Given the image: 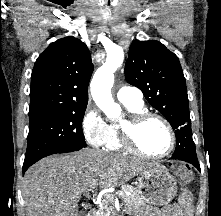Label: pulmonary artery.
<instances>
[{
  "instance_id": "pulmonary-artery-1",
  "label": "pulmonary artery",
  "mask_w": 221,
  "mask_h": 216,
  "mask_svg": "<svg viewBox=\"0 0 221 216\" xmlns=\"http://www.w3.org/2000/svg\"><path fill=\"white\" fill-rule=\"evenodd\" d=\"M117 99L122 103H140L143 102L142 92L132 86H122L117 91Z\"/></svg>"
}]
</instances>
